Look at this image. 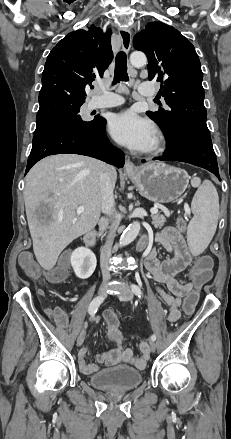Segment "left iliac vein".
Listing matches in <instances>:
<instances>
[{"mask_svg": "<svg viewBox=\"0 0 231 439\" xmlns=\"http://www.w3.org/2000/svg\"><path fill=\"white\" fill-rule=\"evenodd\" d=\"M118 297L122 301H132L133 292L129 288L124 287L122 292L118 295ZM150 350L151 352H155L156 350V344L152 340L150 341Z\"/></svg>", "mask_w": 231, "mask_h": 439, "instance_id": "1", "label": "left iliac vein"}]
</instances>
